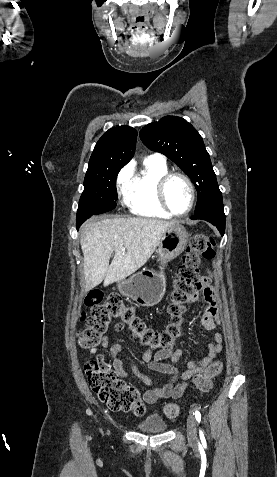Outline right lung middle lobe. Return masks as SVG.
<instances>
[{"instance_id": "1", "label": "right lung middle lobe", "mask_w": 277, "mask_h": 477, "mask_svg": "<svg viewBox=\"0 0 277 477\" xmlns=\"http://www.w3.org/2000/svg\"><path fill=\"white\" fill-rule=\"evenodd\" d=\"M122 167L86 173L84 191L77 210V229L90 216L116 207V178Z\"/></svg>"}]
</instances>
